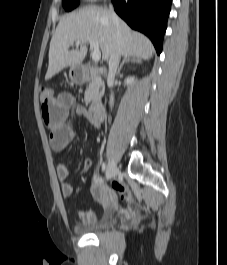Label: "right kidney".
Masks as SVG:
<instances>
[{"instance_id":"ca27d5eb","label":"right kidney","mask_w":227,"mask_h":265,"mask_svg":"<svg viewBox=\"0 0 227 265\" xmlns=\"http://www.w3.org/2000/svg\"><path fill=\"white\" fill-rule=\"evenodd\" d=\"M132 83H134V77H128L125 80V85H127V86L131 85Z\"/></svg>"}]
</instances>
